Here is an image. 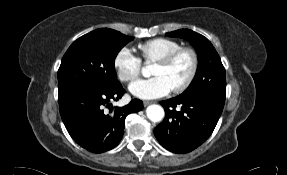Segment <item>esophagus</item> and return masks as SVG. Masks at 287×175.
<instances>
[{"mask_svg":"<svg viewBox=\"0 0 287 175\" xmlns=\"http://www.w3.org/2000/svg\"><path fill=\"white\" fill-rule=\"evenodd\" d=\"M152 103V101H143V105L146 107V106H148L149 104H151Z\"/></svg>","mask_w":287,"mask_h":175,"instance_id":"esophagus-1","label":"esophagus"}]
</instances>
